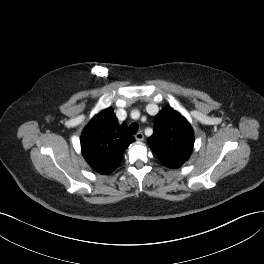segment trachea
<instances>
[{
  "mask_svg": "<svg viewBox=\"0 0 264 264\" xmlns=\"http://www.w3.org/2000/svg\"><path fill=\"white\" fill-rule=\"evenodd\" d=\"M128 131L130 134H136L138 131V125L136 123H132L129 128Z\"/></svg>",
  "mask_w": 264,
  "mask_h": 264,
  "instance_id": "obj_1",
  "label": "trachea"
}]
</instances>
